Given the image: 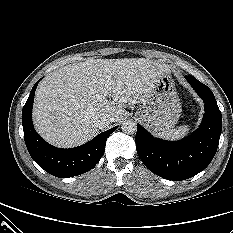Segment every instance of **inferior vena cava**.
Here are the masks:
<instances>
[{"label": "inferior vena cava", "instance_id": "inferior-vena-cava-1", "mask_svg": "<svg viewBox=\"0 0 233 233\" xmlns=\"http://www.w3.org/2000/svg\"><path fill=\"white\" fill-rule=\"evenodd\" d=\"M113 122H114V118L107 114L99 116L96 120V124L100 129L109 126Z\"/></svg>", "mask_w": 233, "mask_h": 233}]
</instances>
